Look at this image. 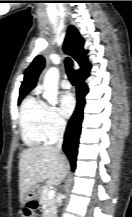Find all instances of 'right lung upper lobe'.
Instances as JSON below:
<instances>
[{"instance_id":"1","label":"right lung upper lobe","mask_w":132,"mask_h":217,"mask_svg":"<svg viewBox=\"0 0 132 217\" xmlns=\"http://www.w3.org/2000/svg\"><path fill=\"white\" fill-rule=\"evenodd\" d=\"M84 40L74 26H70L64 42V51L71 55L80 65L77 70L78 79H86L89 76L91 64L89 63L86 54L87 51L83 48ZM45 60L42 56H37L27 68L24 75V80L20 87L19 99L31 91L35 86L38 76L44 68Z\"/></svg>"}]
</instances>
